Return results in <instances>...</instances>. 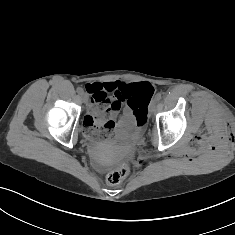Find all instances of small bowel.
<instances>
[{
    "label": "small bowel",
    "instance_id": "1",
    "mask_svg": "<svg viewBox=\"0 0 235 235\" xmlns=\"http://www.w3.org/2000/svg\"><path fill=\"white\" fill-rule=\"evenodd\" d=\"M131 84L136 83L128 84L121 81H114L94 82L87 85V91L92 95L87 117L94 116L102 110H108L110 114V121L101 129V132L110 136L116 128V118L121 109L122 94ZM109 94H112V96H109ZM124 114V119H131L132 116L129 108L125 109ZM94 133H97V130H94Z\"/></svg>",
    "mask_w": 235,
    "mask_h": 235
}]
</instances>
